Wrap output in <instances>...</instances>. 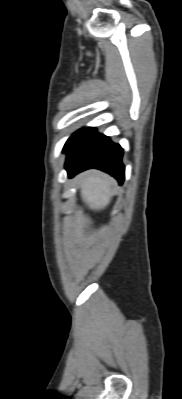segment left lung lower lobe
I'll use <instances>...</instances> for the list:
<instances>
[{"label": "left lung lower lobe", "mask_w": 182, "mask_h": 399, "mask_svg": "<svg viewBox=\"0 0 182 399\" xmlns=\"http://www.w3.org/2000/svg\"><path fill=\"white\" fill-rule=\"evenodd\" d=\"M63 152L67 154L65 169L68 177L86 169L97 168L115 177L120 185L124 181L122 148L111 142L109 137L98 134L93 127L76 131Z\"/></svg>", "instance_id": "0a47b994"}]
</instances>
